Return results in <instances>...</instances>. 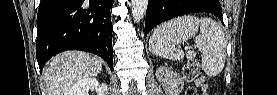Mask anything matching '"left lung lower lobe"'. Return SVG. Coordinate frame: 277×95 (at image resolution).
<instances>
[{"label":"left lung lower lobe","instance_id":"0a47b994","mask_svg":"<svg viewBox=\"0 0 277 95\" xmlns=\"http://www.w3.org/2000/svg\"><path fill=\"white\" fill-rule=\"evenodd\" d=\"M208 12L222 19L221 5L209 4V0H149L145 20V36L158 24L173 17Z\"/></svg>","mask_w":277,"mask_h":95}]
</instances>
